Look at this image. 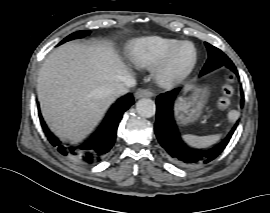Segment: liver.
Wrapping results in <instances>:
<instances>
[{
    "label": "liver",
    "mask_w": 270,
    "mask_h": 213,
    "mask_svg": "<svg viewBox=\"0 0 270 213\" xmlns=\"http://www.w3.org/2000/svg\"><path fill=\"white\" fill-rule=\"evenodd\" d=\"M131 76L113 47L66 43L44 61L37 80L42 114L59 137L78 142L102 119L115 100L113 86Z\"/></svg>",
    "instance_id": "1"
}]
</instances>
